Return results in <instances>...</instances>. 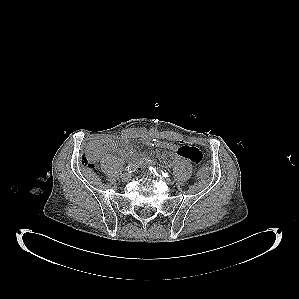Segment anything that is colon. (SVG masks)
Segmentation results:
<instances>
[{
  "instance_id": "1",
  "label": "colon",
  "mask_w": 299,
  "mask_h": 299,
  "mask_svg": "<svg viewBox=\"0 0 299 299\" xmlns=\"http://www.w3.org/2000/svg\"><path fill=\"white\" fill-rule=\"evenodd\" d=\"M104 143L92 142L88 145L85 154L82 156L81 162L84 166L89 168H98L100 165V155L104 150ZM197 175L201 179L208 177V169L206 166H201L197 172Z\"/></svg>"
}]
</instances>
